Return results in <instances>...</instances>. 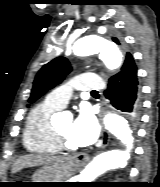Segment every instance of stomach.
Wrapping results in <instances>:
<instances>
[{
    "label": "stomach",
    "mask_w": 160,
    "mask_h": 187,
    "mask_svg": "<svg viewBox=\"0 0 160 187\" xmlns=\"http://www.w3.org/2000/svg\"><path fill=\"white\" fill-rule=\"evenodd\" d=\"M77 165L71 158H64L51 165L39 168L32 176L30 182H65L69 178ZM62 183H31V187H54L60 186Z\"/></svg>",
    "instance_id": "stomach-1"
}]
</instances>
